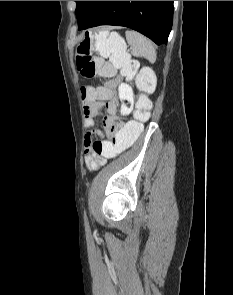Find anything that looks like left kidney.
<instances>
[{
  "label": "left kidney",
  "instance_id": "left-kidney-1",
  "mask_svg": "<svg viewBox=\"0 0 233 295\" xmlns=\"http://www.w3.org/2000/svg\"><path fill=\"white\" fill-rule=\"evenodd\" d=\"M135 84L140 91L152 94L155 91L157 85V77L155 72L149 67H142L135 78Z\"/></svg>",
  "mask_w": 233,
  "mask_h": 295
}]
</instances>
